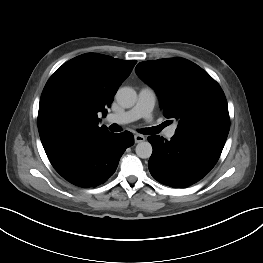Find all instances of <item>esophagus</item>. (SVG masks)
Returning <instances> with one entry per match:
<instances>
[{"label":"esophagus","mask_w":263,"mask_h":263,"mask_svg":"<svg viewBox=\"0 0 263 263\" xmlns=\"http://www.w3.org/2000/svg\"><path fill=\"white\" fill-rule=\"evenodd\" d=\"M134 139H135V143H140V142L145 141V137L141 134H136L134 136Z\"/></svg>","instance_id":"esophagus-1"}]
</instances>
